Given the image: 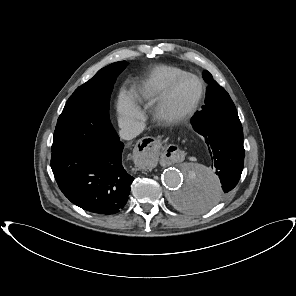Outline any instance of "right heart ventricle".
Wrapping results in <instances>:
<instances>
[{
  "mask_svg": "<svg viewBox=\"0 0 296 296\" xmlns=\"http://www.w3.org/2000/svg\"><path fill=\"white\" fill-rule=\"evenodd\" d=\"M186 73L184 70L167 65L154 67L147 77L135 87L130 94L135 106H148L159 99L165 88L178 76Z\"/></svg>",
  "mask_w": 296,
  "mask_h": 296,
  "instance_id": "obj_1",
  "label": "right heart ventricle"
}]
</instances>
